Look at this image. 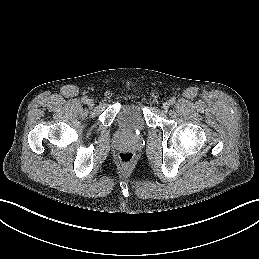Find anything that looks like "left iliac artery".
I'll list each match as a JSON object with an SVG mask.
<instances>
[{
	"label": "left iliac artery",
	"mask_w": 259,
	"mask_h": 259,
	"mask_svg": "<svg viewBox=\"0 0 259 259\" xmlns=\"http://www.w3.org/2000/svg\"><path fill=\"white\" fill-rule=\"evenodd\" d=\"M169 104H171V105L175 104V99H173V98L170 99V100H169Z\"/></svg>",
	"instance_id": "1"
}]
</instances>
